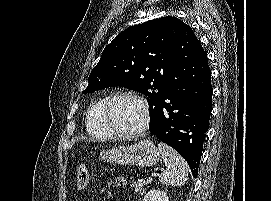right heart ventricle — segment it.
Returning <instances> with one entry per match:
<instances>
[{
	"label": "right heart ventricle",
	"instance_id": "obj_1",
	"mask_svg": "<svg viewBox=\"0 0 271 201\" xmlns=\"http://www.w3.org/2000/svg\"><path fill=\"white\" fill-rule=\"evenodd\" d=\"M107 97L99 98L86 113V130L89 135L100 139H111L116 135L105 125L102 118V109Z\"/></svg>",
	"mask_w": 271,
	"mask_h": 201
}]
</instances>
